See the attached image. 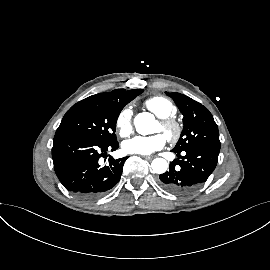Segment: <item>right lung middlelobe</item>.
Here are the masks:
<instances>
[{"mask_svg":"<svg viewBox=\"0 0 270 270\" xmlns=\"http://www.w3.org/2000/svg\"><path fill=\"white\" fill-rule=\"evenodd\" d=\"M123 107L108 98H85L66 112L55 135L75 134L103 144L113 143L117 141L116 122Z\"/></svg>","mask_w":270,"mask_h":270,"instance_id":"right-lung-middle-lobe-1","label":"right lung middle lobe"}]
</instances>
